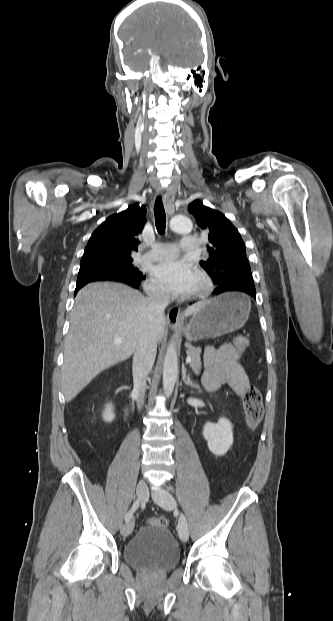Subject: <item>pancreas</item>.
Instances as JSON below:
<instances>
[{
	"instance_id": "pancreas-1",
	"label": "pancreas",
	"mask_w": 333,
	"mask_h": 621,
	"mask_svg": "<svg viewBox=\"0 0 333 621\" xmlns=\"http://www.w3.org/2000/svg\"><path fill=\"white\" fill-rule=\"evenodd\" d=\"M187 348V355L190 356L192 358V361L190 363V367L192 368V370L196 373H200L201 372V368H202V362H201V348H195L190 344H186L185 345Z\"/></svg>"
}]
</instances>
